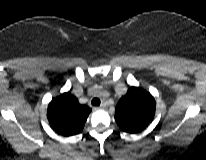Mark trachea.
I'll use <instances>...</instances> for the list:
<instances>
[{
  "label": "trachea",
  "instance_id": "trachea-1",
  "mask_svg": "<svg viewBox=\"0 0 206 160\" xmlns=\"http://www.w3.org/2000/svg\"><path fill=\"white\" fill-rule=\"evenodd\" d=\"M91 104L93 106H99L100 105V99L99 98H93L91 101Z\"/></svg>",
  "mask_w": 206,
  "mask_h": 160
}]
</instances>
